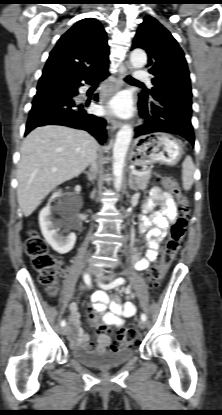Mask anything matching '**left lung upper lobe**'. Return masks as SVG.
I'll return each mask as SVG.
<instances>
[{
  "label": "left lung upper lobe",
  "mask_w": 222,
  "mask_h": 415,
  "mask_svg": "<svg viewBox=\"0 0 222 415\" xmlns=\"http://www.w3.org/2000/svg\"><path fill=\"white\" fill-rule=\"evenodd\" d=\"M142 48L148 54L147 67L152 74V91H142L139 98L151 100L157 83L167 77L189 78L184 52L171 33L155 18L146 16L135 35L132 49ZM170 102L169 106H175ZM175 109V107H171Z\"/></svg>",
  "instance_id": "5c2ea615"
}]
</instances>
